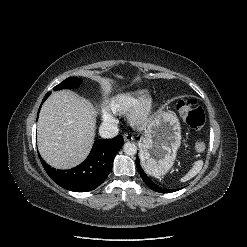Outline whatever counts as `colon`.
<instances>
[{
	"instance_id": "5ec220e1",
	"label": "colon",
	"mask_w": 247,
	"mask_h": 247,
	"mask_svg": "<svg viewBox=\"0 0 247 247\" xmlns=\"http://www.w3.org/2000/svg\"><path fill=\"white\" fill-rule=\"evenodd\" d=\"M177 108L184 122L192 128H201L205 123V115L201 107L196 106V101L193 99L180 100L177 103ZM194 148L197 152H203L206 149V144L202 140L195 142Z\"/></svg>"
}]
</instances>
